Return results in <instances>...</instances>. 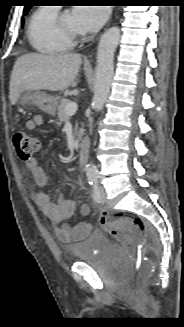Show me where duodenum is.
Here are the masks:
<instances>
[{"label": "duodenum", "instance_id": "obj_1", "mask_svg": "<svg viewBox=\"0 0 184 327\" xmlns=\"http://www.w3.org/2000/svg\"><path fill=\"white\" fill-rule=\"evenodd\" d=\"M88 147H89V142L87 139H83L79 143L78 147V157H79V162L82 167H84L87 159V152H88Z\"/></svg>", "mask_w": 184, "mask_h": 327}]
</instances>
